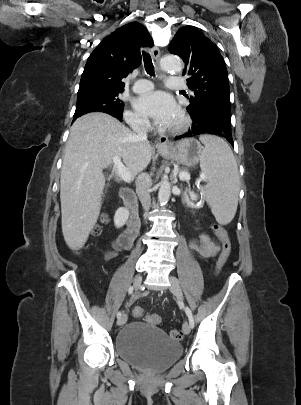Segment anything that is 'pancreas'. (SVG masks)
I'll use <instances>...</instances> for the list:
<instances>
[{
    "instance_id": "obj_1",
    "label": "pancreas",
    "mask_w": 301,
    "mask_h": 405,
    "mask_svg": "<svg viewBox=\"0 0 301 405\" xmlns=\"http://www.w3.org/2000/svg\"><path fill=\"white\" fill-rule=\"evenodd\" d=\"M195 198H196V196H195ZM182 202L185 203L188 207L193 208V202L186 195L182 196Z\"/></svg>"
}]
</instances>
